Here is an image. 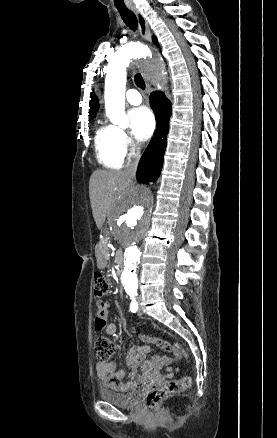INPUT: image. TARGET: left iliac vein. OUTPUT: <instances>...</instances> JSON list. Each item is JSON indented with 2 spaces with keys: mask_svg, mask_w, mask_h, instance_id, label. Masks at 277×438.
Returning <instances> with one entry per match:
<instances>
[{
  "mask_svg": "<svg viewBox=\"0 0 277 438\" xmlns=\"http://www.w3.org/2000/svg\"><path fill=\"white\" fill-rule=\"evenodd\" d=\"M138 315H142L143 314V312H142V309L139 307V309H138Z\"/></svg>",
  "mask_w": 277,
  "mask_h": 438,
  "instance_id": "left-iliac-vein-1",
  "label": "left iliac vein"
}]
</instances>
